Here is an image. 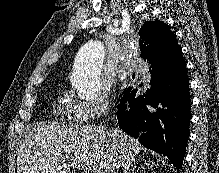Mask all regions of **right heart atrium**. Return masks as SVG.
Returning <instances> with one entry per match:
<instances>
[{"label": "right heart atrium", "instance_id": "d8ad5b80", "mask_svg": "<svg viewBox=\"0 0 219 173\" xmlns=\"http://www.w3.org/2000/svg\"><path fill=\"white\" fill-rule=\"evenodd\" d=\"M72 115L79 122H89L104 116L109 110V97L106 91L94 100H75L72 102Z\"/></svg>", "mask_w": 219, "mask_h": 173}]
</instances>
